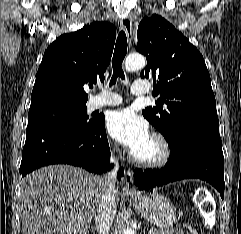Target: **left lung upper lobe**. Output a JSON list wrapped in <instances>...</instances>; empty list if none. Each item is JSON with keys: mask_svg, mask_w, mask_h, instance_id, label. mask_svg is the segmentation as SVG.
Returning a JSON list of instances; mask_svg holds the SVG:
<instances>
[{"mask_svg": "<svg viewBox=\"0 0 241 234\" xmlns=\"http://www.w3.org/2000/svg\"><path fill=\"white\" fill-rule=\"evenodd\" d=\"M137 51L147 66L141 77L153 78L157 107L143 116L156 127L172 148L190 131L219 134L216 100L210 75L200 52L181 32L159 15L145 17L137 31Z\"/></svg>", "mask_w": 241, "mask_h": 234, "instance_id": "5c2ea615", "label": "left lung upper lobe"}]
</instances>
